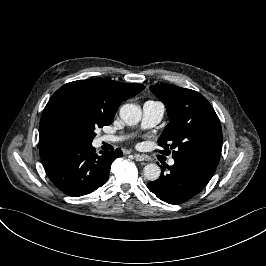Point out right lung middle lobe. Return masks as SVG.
<instances>
[{
    "instance_id": "right-lung-middle-lobe-1",
    "label": "right lung middle lobe",
    "mask_w": 266,
    "mask_h": 266,
    "mask_svg": "<svg viewBox=\"0 0 266 266\" xmlns=\"http://www.w3.org/2000/svg\"><path fill=\"white\" fill-rule=\"evenodd\" d=\"M114 115L104 106L99 93L91 89H72L56 103L57 121L69 145L91 144L95 128L111 124Z\"/></svg>"
}]
</instances>
